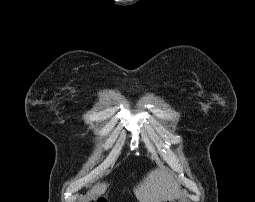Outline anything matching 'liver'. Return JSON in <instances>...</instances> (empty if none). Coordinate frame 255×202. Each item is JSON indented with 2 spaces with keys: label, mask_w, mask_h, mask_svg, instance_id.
Segmentation results:
<instances>
[{
  "label": "liver",
  "mask_w": 255,
  "mask_h": 202,
  "mask_svg": "<svg viewBox=\"0 0 255 202\" xmlns=\"http://www.w3.org/2000/svg\"><path fill=\"white\" fill-rule=\"evenodd\" d=\"M108 185L101 183L94 186L88 195H102L106 192ZM179 185L171 173L165 169H155L133 189L139 202H162L168 198H174L179 193Z\"/></svg>",
  "instance_id": "1"
}]
</instances>
